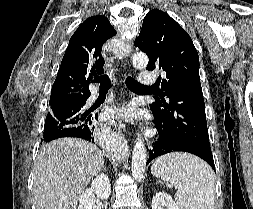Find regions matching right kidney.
<instances>
[{
    "label": "right kidney",
    "instance_id": "1",
    "mask_svg": "<svg viewBox=\"0 0 253 209\" xmlns=\"http://www.w3.org/2000/svg\"><path fill=\"white\" fill-rule=\"evenodd\" d=\"M111 193L110 180L107 175H98L91 184V187L86 189L79 198L78 209H92L95 204V195L100 199H108Z\"/></svg>",
    "mask_w": 253,
    "mask_h": 209
}]
</instances>
